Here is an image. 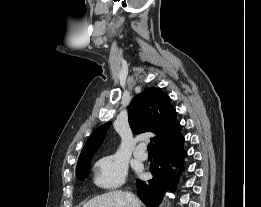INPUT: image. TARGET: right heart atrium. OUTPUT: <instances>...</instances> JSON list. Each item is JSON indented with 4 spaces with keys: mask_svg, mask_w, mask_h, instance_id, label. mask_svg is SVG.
<instances>
[{
    "mask_svg": "<svg viewBox=\"0 0 261 207\" xmlns=\"http://www.w3.org/2000/svg\"><path fill=\"white\" fill-rule=\"evenodd\" d=\"M127 171L126 162L117 155L104 156L96 163L95 182L104 189L118 188L124 184Z\"/></svg>",
    "mask_w": 261,
    "mask_h": 207,
    "instance_id": "1",
    "label": "right heart atrium"
}]
</instances>
